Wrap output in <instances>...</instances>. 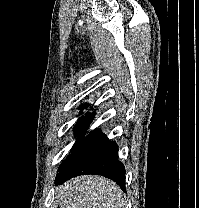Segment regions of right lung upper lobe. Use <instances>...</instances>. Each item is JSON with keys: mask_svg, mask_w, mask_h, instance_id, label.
<instances>
[{"mask_svg": "<svg viewBox=\"0 0 199 208\" xmlns=\"http://www.w3.org/2000/svg\"><path fill=\"white\" fill-rule=\"evenodd\" d=\"M87 107V104H84V105H81L80 106V109L82 110V109H84V108H86Z\"/></svg>", "mask_w": 199, "mask_h": 208, "instance_id": "right-lung-upper-lobe-1", "label": "right lung upper lobe"}]
</instances>
